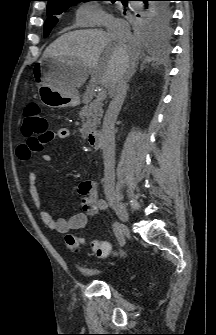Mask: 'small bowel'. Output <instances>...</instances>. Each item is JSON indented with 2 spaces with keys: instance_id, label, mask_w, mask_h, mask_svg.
I'll list each match as a JSON object with an SVG mask.
<instances>
[{
  "instance_id": "c3829d8e",
  "label": "small bowel",
  "mask_w": 216,
  "mask_h": 335,
  "mask_svg": "<svg viewBox=\"0 0 216 335\" xmlns=\"http://www.w3.org/2000/svg\"><path fill=\"white\" fill-rule=\"evenodd\" d=\"M70 131L67 128H60L56 132H51L49 139L45 143L54 139H68ZM33 151L28 144L19 145L17 155L20 160L27 162L30 160ZM45 162L52 160L51 155L44 154L42 156ZM28 191L35 208L39 212V217L48 228L61 234H66L71 230L83 229L87 226L89 217H94L99 212L98 190L95 183L91 180L83 181L79 186V193L83 196L81 206L83 212L71 215L68 218L55 219L48 211L43 209V200L38 188V175L35 171L29 170L27 175ZM104 242L110 249L111 244ZM106 258V257H103Z\"/></svg>"
}]
</instances>
